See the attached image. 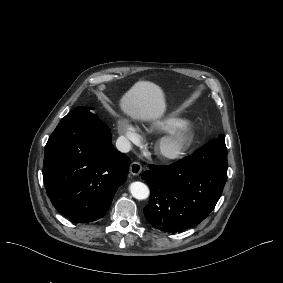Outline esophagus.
Here are the masks:
<instances>
[{
  "mask_svg": "<svg viewBox=\"0 0 283 283\" xmlns=\"http://www.w3.org/2000/svg\"><path fill=\"white\" fill-rule=\"evenodd\" d=\"M129 170L131 174L138 175L142 171V165L139 162H133L131 163Z\"/></svg>",
  "mask_w": 283,
  "mask_h": 283,
  "instance_id": "1",
  "label": "esophagus"
}]
</instances>
